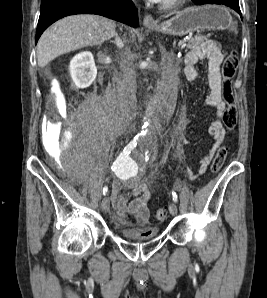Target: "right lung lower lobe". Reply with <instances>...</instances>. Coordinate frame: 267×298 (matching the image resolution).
Wrapping results in <instances>:
<instances>
[{"label": "right lung lower lobe", "instance_id": "obj_1", "mask_svg": "<svg viewBox=\"0 0 267 298\" xmlns=\"http://www.w3.org/2000/svg\"><path fill=\"white\" fill-rule=\"evenodd\" d=\"M73 14H97L132 27L138 26V10L131 0H42L36 43L53 22Z\"/></svg>", "mask_w": 267, "mask_h": 298}]
</instances>
